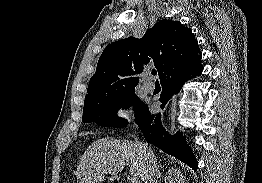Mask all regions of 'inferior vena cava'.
Returning a JSON list of instances; mask_svg holds the SVG:
<instances>
[{
    "label": "inferior vena cava",
    "mask_w": 262,
    "mask_h": 183,
    "mask_svg": "<svg viewBox=\"0 0 262 183\" xmlns=\"http://www.w3.org/2000/svg\"><path fill=\"white\" fill-rule=\"evenodd\" d=\"M141 156L144 161V183H154V177L157 171V160L153 152L148 148L147 144L138 142Z\"/></svg>",
    "instance_id": "obj_1"
}]
</instances>
